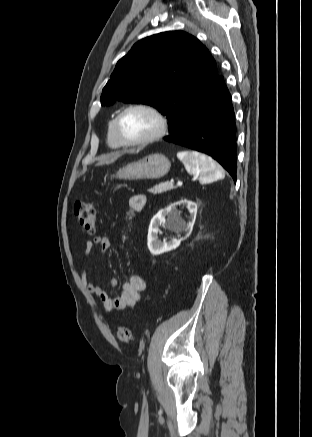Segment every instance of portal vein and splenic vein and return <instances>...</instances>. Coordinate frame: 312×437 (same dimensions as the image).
<instances>
[{
    "label": "portal vein and splenic vein",
    "instance_id": "obj_1",
    "mask_svg": "<svg viewBox=\"0 0 312 437\" xmlns=\"http://www.w3.org/2000/svg\"><path fill=\"white\" fill-rule=\"evenodd\" d=\"M182 184H183V182L180 181V180L177 182V185H178V186H181Z\"/></svg>",
    "mask_w": 312,
    "mask_h": 437
}]
</instances>
